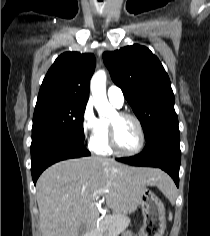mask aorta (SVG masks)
<instances>
[{
  "instance_id": "762f6f07",
  "label": "aorta",
  "mask_w": 210,
  "mask_h": 236,
  "mask_svg": "<svg viewBox=\"0 0 210 236\" xmlns=\"http://www.w3.org/2000/svg\"><path fill=\"white\" fill-rule=\"evenodd\" d=\"M90 89L94 99V105L99 115L111 116L115 113L114 108L109 104L106 94V73L104 70H99L94 73Z\"/></svg>"
}]
</instances>
